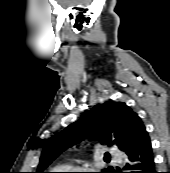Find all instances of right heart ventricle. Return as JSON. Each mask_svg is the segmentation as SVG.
<instances>
[{
    "label": "right heart ventricle",
    "mask_w": 170,
    "mask_h": 173,
    "mask_svg": "<svg viewBox=\"0 0 170 173\" xmlns=\"http://www.w3.org/2000/svg\"><path fill=\"white\" fill-rule=\"evenodd\" d=\"M61 171H67L70 169V167L68 165L62 166L59 168Z\"/></svg>",
    "instance_id": "right-heart-ventricle-1"
}]
</instances>
